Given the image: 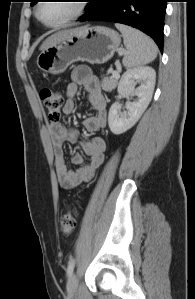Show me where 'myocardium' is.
<instances>
[{"instance_id": "myocardium-1", "label": "myocardium", "mask_w": 195, "mask_h": 299, "mask_svg": "<svg viewBox=\"0 0 195 299\" xmlns=\"http://www.w3.org/2000/svg\"><path fill=\"white\" fill-rule=\"evenodd\" d=\"M74 3H75V11L73 12L72 15H70L69 17L65 18L64 20L58 22V23H55V24H48L46 22H44L41 17H40V14H39V11H40V7L42 5V1H40L37 5H36V8H35V16L36 18L38 19L39 22H41L44 26L48 27V28H58V27H62L78 18H80L85 10H86V3L85 1L83 0H74Z\"/></svg>"}]
</instances>
